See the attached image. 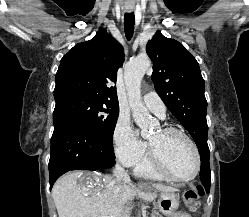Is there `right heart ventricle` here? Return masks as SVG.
<instances>
[{
	"mask_svg": "<svg viewBox=\"0 0 249 217\" xmlns=\"http://www.w3.org/2000/svg\"><path fill=\"white\" fill-rule=\"evenodd\" d=\"M136 174L155 180L165 179L160 174H158L151 166L148 155L142 156V158L135 164Z\"/></svg>",
	"mask_w": 249,
	"mask_h": 217,
	"instance_id": "right-heart-ventricle-1",
	"label": "right heart ventricle"
}]
</instances>
